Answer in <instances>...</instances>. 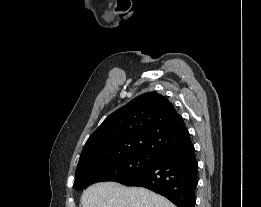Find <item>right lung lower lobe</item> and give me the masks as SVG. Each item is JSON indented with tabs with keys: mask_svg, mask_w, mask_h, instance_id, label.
Listing matches in <instances>:
<instances>
[{
	"mask_svg": "<svg viewBox=\"0 0 261 207\" xmlns=\"http://www.w3.org/2000/svg\"><path fill=\"white\" fill-rule=\"evenodd\" d=\"M198 163L191 140L152 158L150 165L119 183L159 193L177 207H195Z\"/></svg>",
	"mask_w": 261,
	"mask_h": 207,
	"instance_id": "98d812e1",
	"label": "right lung lower lobe"
}]
</instances>
